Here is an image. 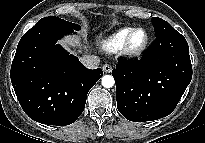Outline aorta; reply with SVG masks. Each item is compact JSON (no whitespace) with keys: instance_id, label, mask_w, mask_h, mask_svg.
<instances>
[{"instance_id":"762f6f07","label":"aorta","mask_w":205,"mask_h":143,"mask_svg":"<svg viewBox=\"0 0 205 143\" xmlns=\"http://www.w3.org/2000/svg\"><path fill=\"white\" fill-rule=\"evenodd\" d=\"M114 78L111 75H104L102 77V86L105 88H111L114 86Z\"/></svg>"}]
</instances>
